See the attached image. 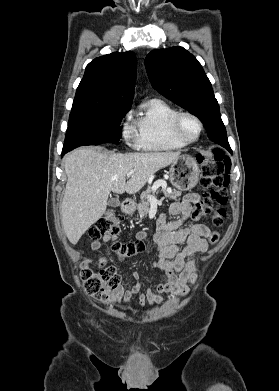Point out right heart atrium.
Returning a JSON list of instances; mask_svg holds the SVG:
<instances>
[{
	"instance_id": "d8ad5b80",
	"label": "right heart atrium",
	"mask_w": 279,
	"mask_h": 391,
	"mask_svg": "<svg viewBox=\"0 0 279 391\" xmlns=\"http://www.w3.org/2000/svg\"><path fill=\"white\" fill-rule=\"evenodd\" d=\"M121 133L125 142L132 147L137 146L136 137L133 131L132 111H127L121 119Z\"/></svg>"
}]
</instances>
